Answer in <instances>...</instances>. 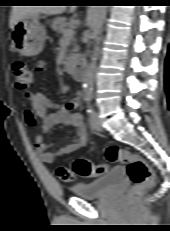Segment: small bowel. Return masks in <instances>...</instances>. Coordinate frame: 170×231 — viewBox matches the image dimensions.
I'll list each match as a JSON object with an SVG mask.
<instances>
[{
    "label": "small bowel",
    "mask_w": 170,
    "mask_h": 231,
    "mask_svg": "<svg viewBox=\"0 0 170 231\" xmlns=\"http://www.w3.org/2000/svg\"><path fill=\"white\" fill-rule=\"evenodd\" d=\"M31 67L34 73H42L47 69V62L37 60ZM21 94L31 105L30 109L24 111V120L29 126H36L37 119H40L43 133L57 124H64L75 130L73 139L57 152L51 151V145L45 142L43 135L39 134L35 137L36 150L44 163L53 164L58 156L71 154L86 146L88 133L82 115L78 112L81 107L79 96L63 104L53 101L43 93L26 91Z\"/></svg>",
    "instance_id": "c3829d8e"
}]
</instances>
